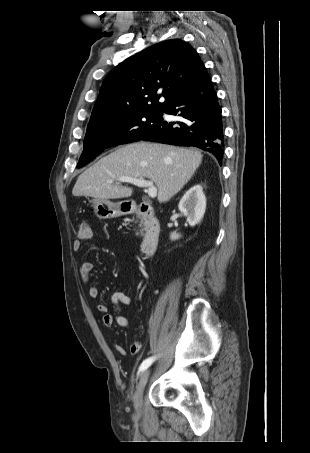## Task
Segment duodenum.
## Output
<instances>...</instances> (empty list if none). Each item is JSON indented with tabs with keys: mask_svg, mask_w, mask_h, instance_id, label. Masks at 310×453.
Here are the masks:
<instances>
[{
	"mask_svg": "<svg viewBox=\"0 0 310 453\" xmlns=\"http://www.w3.org/2000/svg\"><path fill=\"white\" fill-rule=\"evenodd\" d=\"M123 214H134L144 222L145 233L140 244V251L143 255H152L156 251L161 233L160 222L152 205L145 202L137 206H129L123 209Z\"/></svg>",
	"mask_w": 310,
	"mask_h": 453,
	"instance_id": "duodenum-1",
	"label": "duodenum"
}]
</instances>
